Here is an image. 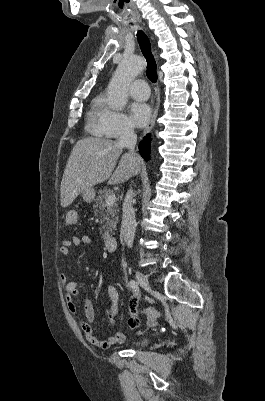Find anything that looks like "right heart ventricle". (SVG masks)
Segmentation results:
<instances>
[{
    "mask_svg": "<svg viewBox=\"0 0 265 401\" xmlns=\"http://www.w3.org/2000/svg\"><path fill=\"white\" fill-rule=\"evenodd\" d=\"M104 105V99L102 95H97L95 96L89 106V111H88V115L93 116L95 118H97V116L100 114L101 109ZM94 133L97 137L99 138H106L108 137L106 134H104L98 127L97 124H94ZM104 142L106 143H110L111 140L108 139H103Z\"/></svg>",
    "mask_w": 265,
    "mask_h": 401,
    "instance_id": "right-heart-ventricle-1",
    "label": "right heart ventricle"
}]
</instances>
